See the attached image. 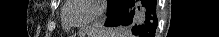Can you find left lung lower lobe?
<instances>
[{
    "label": "left lung lower lobe",
    "mask_w": 219,
    "mask_h": 37,
    "mask_svg": "<svg viewBox=\"0 0 219 37\" xmlns=\"http://www.w3.org/2000/svg\"><path fill=\"white\" fill-rule=\"evenodd\" d=\"M128 25L136 37H155L156 0H118L105 26Z\"/></svg>",
    "instance_id": "left-lung-lower-lobe-1"
}]
</instances>
